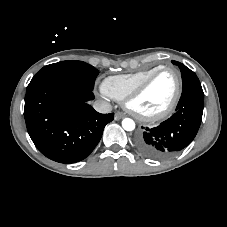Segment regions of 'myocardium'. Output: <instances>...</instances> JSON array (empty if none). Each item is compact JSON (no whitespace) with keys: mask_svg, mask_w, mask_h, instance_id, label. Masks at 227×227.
<instances>
[{"mask_svg":"<svg viewBox=\"0 0 227 227\" xmlns=\"http://www.w3.org/2000/svg\"><path fill=\"white\" fill-rule=\"evenodd\" d=\"M165 71H173L177 77V88L169 105L162 111L155 114H142L135 110L132 106L133 102L149 87V85L153 82V80L162 74ZM183 90V81L180 71L171 66H163L160 69L156 70L152 74H150L147 78H145L139 85H137L124 99V106L129 113L135 116L137 119L144 122H157L167 118L172 114L174 109L176 108Z\"/></svg>","mask_w":227,"mask_h":227,"instance_id":"obj_1","label":"myocardium"}]
</instances>
